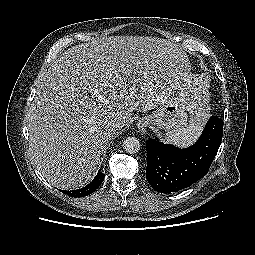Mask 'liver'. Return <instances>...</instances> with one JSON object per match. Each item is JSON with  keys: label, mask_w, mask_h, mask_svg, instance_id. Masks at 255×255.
I'll list each match as a JSON object with an SVG mask.
<instances>
[{"label": "liver", "mask_w": 255, "mask_h": 255, "mask_svg": "<svg viewBox=\"0 0 255 255\" xmlns=\"http://www.w3.org/2000/svg\"><path fill=\"white\" fill-rule=\"evenodd\" d=\"M201 81L186 52L149 36H109L75 45L42 78L28 117L34 165L60 189H77L97 171L117 130L178 93L192 117ZM117 118L112 131L109 122Z\"/></svg>", "instance_id": "6515ba94"}]
</instances>
